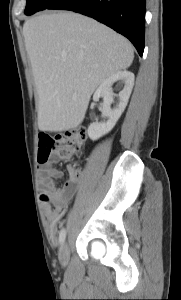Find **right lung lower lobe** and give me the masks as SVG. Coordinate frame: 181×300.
Masks as SVG:
<instances>
[{
  "label": "right lung lower lobe",
  "instance_id": "1",
  "mask_svg": "<svg viewBox=\"0 0 181 300\" xmlns=\"http://www.w3.org/2000/svg\"><path fill=\"white\" fill-rule=\"evenodd\" d=\"M46 9L70 10L92 17L127 37L144 51L145 0H56Z\"/></svg>",
  "mask_w": 181,
  "mask_h": 300
}]
</instances>
